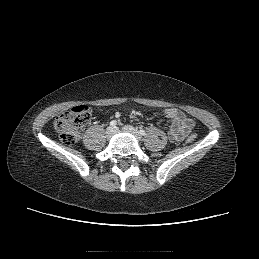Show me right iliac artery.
<instances>
[{"mask_svg": "<svg viewBox=\"0 0 259 259\" xmlns=\"http://www.w3.org/2000/svg\"><path fill=\"white\" fill-rule=\"evenodd\" d=\"M116 124H117V121H116V120H112V121L110 122V126H112V127H115Z\"/></svg>", "mask_w": 259, "mask_h": 259, "instance_id": "82829eb1", "label": "right iliac artery"}]
</instances>
